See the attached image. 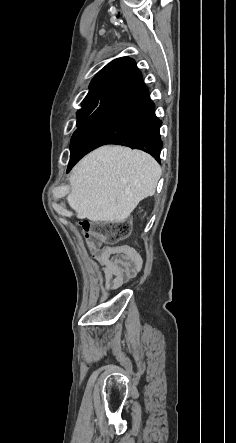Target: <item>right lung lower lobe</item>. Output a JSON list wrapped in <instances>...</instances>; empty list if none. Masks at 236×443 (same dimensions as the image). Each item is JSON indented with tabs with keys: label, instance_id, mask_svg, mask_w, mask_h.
Instances as JSON below:
<instances>
[{
	"label": "right lung lower lobe",
	"instance_id": "98d812e1",
	"mask_svg": "<svg viewBox=\"0 0 236 443\" xmlns=\"http://www.w3.org/2000/svg\"><path fill=\"white\" fill-rule=\"evenodd\" d=\"M155 105L142 79L109 96L79 129L71 142L67 172L85 154L104 144L140 149L160 161L162 141Z\"/></svg>",
	"mask_w": 236,
	"mask_h": 443
}]
</instances>
